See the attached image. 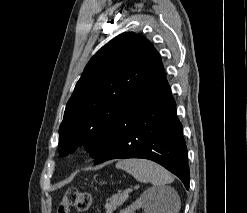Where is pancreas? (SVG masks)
I'll return each mask as SVG.
<instances>
[{
  "mask_svg": "<svg viewBox=\"0 0 247 213\" xmlns=\"http://www.w3.org/2000/svg\"><path fill=\"white\" fill-rule=\"evenodd\" d=\"M128 196L123 194H114L112 197L106 200L105 209L106 213H112L117 207L122 205Z\"/></svg>",
  "mask_w": 247,
  "mask_h": 213,
  "instance_id": "1",
  "label": "pancreas"
}]
</instances>
